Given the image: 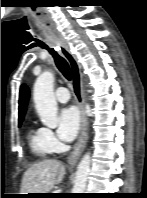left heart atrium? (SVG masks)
<instances>
[{"instance_id": "1", "label": "left heart atrium", "mask_w": 147, "mask_h": 198, "mask_svg": "<svg viewBox=\"0 0 147 198\" xmlns=\"http://www.w3.org/2000/svg\"><path fill=\"white\" fill-rule=\"evenodd\" d=\"M80 115L76 107L63 108L59 113L58 135L62 140L70 141L78 133Z\"/></svg>"}]
</instances>
